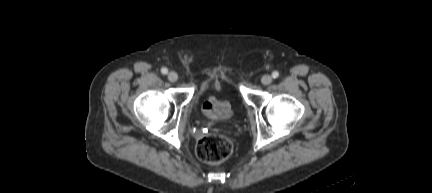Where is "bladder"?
<instances>
[{"mask_svg":"<svg viewBox=\"0 0 432 193\" xmlns=\"http://www.w3.org/2000/svg\"><path fill=\"white\" fill-rule=\"evenodd\" d=\"M209 92H221V86L219 84H209L205 85L201 90L198 96L196 97V100L199 101L201 98L206 96Z\"/></svg>","mask_w":432,"mask_h":193,"instance_id":"obj_1","label":"bladder"}]
</instances>
